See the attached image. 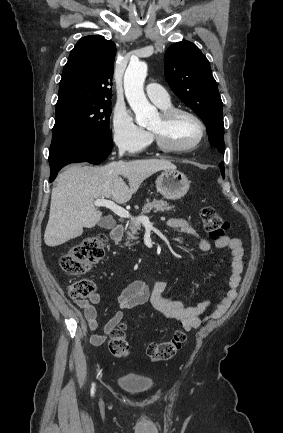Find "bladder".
Wrapping results in <instances>:
<instances>
[{"mask_svg": "<svg viewBox=\"0 0 283 433\" xmlns=\"http://www.w3.org/2000/svg\"><path fill=\"white\" fill-rule=\"evenodd\" d=\"M117 383L129 393H145L153 385V380L149 376L123 372Z\"/></svg>", "mask_w": 283, "mask_h": 433, "instance_id": "1", "label": "bladder"}]
</instances>
